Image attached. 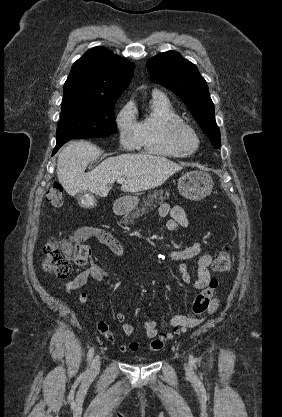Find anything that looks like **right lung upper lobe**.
Masks as SVG:
<instances>
[{
	"instance_id": "right-lung-upper-lobe-1",
	"label": "right lung upper lobe",
	"mask_w": 282,
	"mask_h": 417,
	"mask_svg": "<svg viewBox=\"0 0 282 417\" xmlns=\"http://www.w3.org/2000/svg\"><path fill=\"white\" fill-rule=\"evenodd\" d=\"M134 67L105 47L92 48L73 64L64 94H121L133 76Z\"/></svg>"
}]
</instances>
